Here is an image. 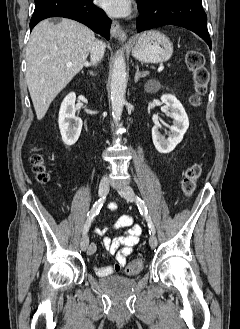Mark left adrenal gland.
<instances>
[{"instance_id":"a2214340","label":"left adrenal gland","mask_w":240,"mask_h":329,"mask_svg":"<svg viewBox=\"0 0 240 329\" xmlns=\"http://www.w3.org/2000/svg\"><path fill=\"white\" fill-rule=\"evenodd\" d=\"M147 74H148L147 71L140 72V71H139V67H138V65H137V66H136V74H135V78H134L135 83H137L138 80H139L141 77H145Z\"/></svg>"}]
</instances>
